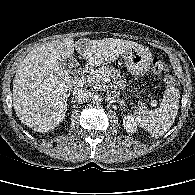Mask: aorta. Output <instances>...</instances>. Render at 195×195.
Wrapping results in <instances>:
<instances>
[{"label": "aorta", "mask_w": 195, "mask_h": 195, "mask_svg": "<svg viewBox=\"0 0 195 195\" xmlns=\"http://www.w3.org/2000/svg\"><path fill=\"white\" fill-rule=\"evenodd\" d=\"M101 101H102V96H101V95H95V96L93 97V102H94L95 104H100Z\"/></svg>", "instance_id": "1"}]
</instances>
